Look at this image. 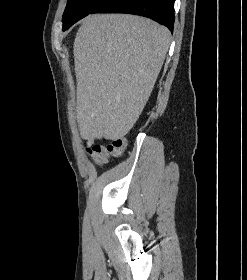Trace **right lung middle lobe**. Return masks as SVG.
Here are the masks:
<instances>
[{"mask_svg":"<svg viewBox=\"0 0 247 280\" xmlns=\"http://www.w3.org/2000/svg\"><path fill=\"white\" fill-rule=\"evenodd\" d=\"M103 1L104 0H68L63 14V30L88 14H92Z\"/></svg>","mask_w":247,"mask_h":280,"instance_id":"1","label":"right lung middle lobe"}]
</instances>
